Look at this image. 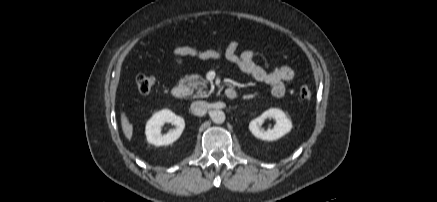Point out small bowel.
Masks as SVG:
<instances>
[{
	"mask_svg": "<svg viewBox=\"0 0 437 202\" xmlns=\"http://www.w3.org/2000/svg\"><path fill=\"white\" fill-rule=\"evenodd\" d=\"M238 42L231 41L225 47H216L211 49H199L193 46H179L172 51L174 64L182 65L184 58L194 57L200 60H216L224 57L229 62L235 64L238 69L253 80L265 83L271 87L272 95L280 98L286 92V83L293 80L294 70L282 65L272 71L256 65L253 61L255 51L251 48H245L238 51Z\"/></svg>",
	"mask_w": 437,
	"mask_h": 202,
	"instance_id": "c3829d8e",
	"label": "small bowel"
}]
</instances>
